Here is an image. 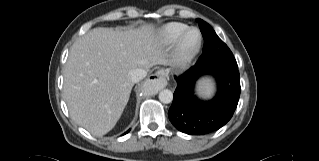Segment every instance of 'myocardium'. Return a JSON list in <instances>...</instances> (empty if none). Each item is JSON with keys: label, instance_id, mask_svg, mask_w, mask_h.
<instances>
[{"label": "myocardium", "instance_id": "1", "mask_svg": "<svg viewBox=\"0 0 319 161\" xmlns=\"http://www.w3.org/2000/svg\"><path fill=\"white\" fill-rule=\"evenodd\" d=\"M196 32L198 34V40L194 47L187 49L185 48V39L190 32ZM203 41V36L201 31L196 27H190L184 30L176 39L174 49H173V56L175 62L180 66H185L189 64L194 57L198 54Z\"/></svg>", "mask_w": 319, "mask_h": 161}]
</instances>
